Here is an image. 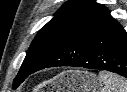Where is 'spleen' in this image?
<instances>
[{
  "label": "spleen",
  "mask_w": 127,
  "mask_h": 92,
  "mask_svg": "<svg viewBox=\"0 0 127 92\" xmlns=\"http://www.w3.org/2000/svg\"><path fill=\"white\" fill-rule=\"evenodd\" d=\"M98 78L104 85L100 92H127V80L119 75L100 72Z\"/></svg>",
  "instance_id": "spleen-1"
}]
</instances>
